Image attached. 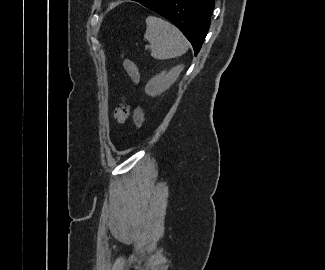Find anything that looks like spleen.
Here are the masks:
<instances>
[{"mask_svg": "<svg viewBox=\"0 0 325 270\" xmlns=\"http://www.w3.org/2000/svg\"><path fill=\"white\" fill-rule=\"evenodd\" d=\"M145 21L144 38L150 43L153 58H174L188 50V41L173 24L155 16H148Z\"/></svg>", "mask_w": 325, "mask_h": 270, "instance_id": "1", "label": "spleen"}]
</instances>
